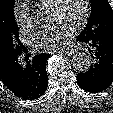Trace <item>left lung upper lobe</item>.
I'll use <instances>...</instances> for the list:
<instances>
[{"instance_id":"left-lung-upper-lobe-1","label":"left lung upper lobe","mask_w":113,"mask_h":113,"mask_svg":"<svg viewBox=\"0 0 113 113\" xmlns=\"http://www.w3.org/2000/svg\"><path fill=\"white\" fill-rule=\"evenodd\" d=\"M91 14L82 33L91 37L96 34L113 35V10L108 0H90Z\"/></svg>"}]
</instances>
